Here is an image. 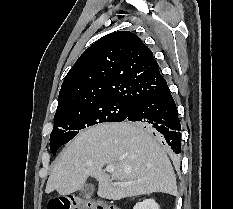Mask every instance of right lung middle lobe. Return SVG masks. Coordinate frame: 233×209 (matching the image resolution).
I'll use <instances>...</instances> for the list:
<instances>
[{
    "mask_svg": "<svg viewBox=\"0 0 233 209\" xmlns=\"http://www.w3.org/2000/svg\"><path fill=\"white\" fill-rule=\"evenodd\" d=\"M135 103L118 98H107L79 106L65 114L55 115L54 128L50 134V149L53 155L60 146L69 142L86 127L103 123L124 121ZM151 131L149 126L136 123Z\"/></svg>",
    "mask_w": 233,
    "mask_h": 209,
    "instance_id": "obj_1",
    "label": "right lung middle lobe"
}]
</instances>
